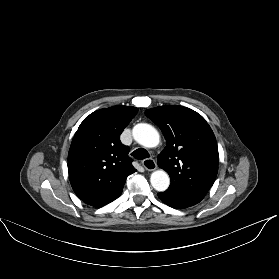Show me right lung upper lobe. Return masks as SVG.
Returning a JSON list of instances; mask_svg holds the SVG:
<instances>
[{
    "mask_svg": "<svg viewBox=\"0 0 279 279\" xmlns=\"http://www.w3.org/2000/svg\"><path fill=\"white\" fill-rule=\"evenodd\" d=\"M132 106L100 109L80 124L68 154V172L75 194L86 204L104 206L121 193L136 172L120 134L137 114Z\"/></svg>",
    "mask_w": 279,
    "mask_h": 279,
    "instance_id": "right-lung-upper-lobe-1",
    "label": "right lung upper lobe"
}]
</instances>
